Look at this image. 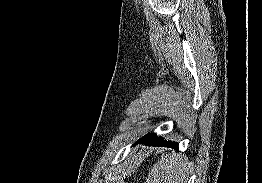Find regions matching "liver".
<instances>
[{"mask_svg":"<svg viewBox=\"0 0 262 183\" xmlns=\"http://www.w3.org/2000/svg\"><path fill=\"white\" fill-rule=\"evenodd\" d=\"M187 162L176 152L162 154L153 165L144 183H185Z\"/></svg>","mask_w":262,"mask_h":183,"instance_id":"1","label":"liver"}]
</instances>
